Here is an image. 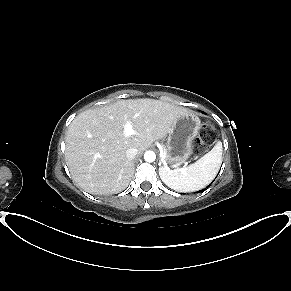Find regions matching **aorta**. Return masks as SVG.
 Returning a JSON list of instances; mask_svg holds the SVG:
<instances>
[{"instance_id":"762f6f07","label":"aorta","mask_w":291,"mask_h":291,"mask_svg":"<svg viewBox=\"0 0 291 291\" xmlns=\"http://www.w3.org/2000/svg\"><path fill=\"white\" fill-rule=\"evenodd\" d=\"M144 159L149 163L154 162L156 159V154L153 151H146L144 154Z\"/></svg>"}]
</instances>
